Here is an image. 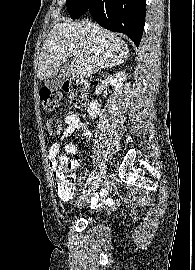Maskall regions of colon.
<instances>
[{"mask_svg":"<svg viewBox=\"0 0 195 270\" xmlns=\"http://www.w3.org/2000/svg\"><path fill=\"white\" fill-rule=\"evenodd\" d=\"M63 90L67 94L72 108L78 110L85 105L87 99V87L83 82H67L64 84ZM39 96L40 104L45 111L54 112L56 110L60 101V94L58 92L42 89ZM46 128L49 135L55 136L60 133L62 124L58 119H49L46 123ZM68 150L71 151L72 147H68ZM60 162L61 166H58L57 170L54 172L55 186L59 194H67L73 189L76 183V177L72 173L70 163L67 164L64 158H61Z\"/></svg>","mask_w":195,"mask_h":270,"instance_id":"5ec220e1","label":"colon"}]
</instances>
